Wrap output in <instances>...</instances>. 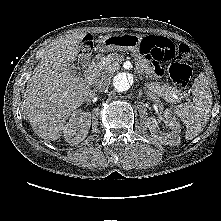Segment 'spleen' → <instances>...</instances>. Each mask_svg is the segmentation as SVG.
Here are the masks:
<instances>
[{
	"mask_svg": "<svg viewBox=\"0 0 221 221\" xmlns=\"http://www.w3.org/2000/svg\"><path fill=\"white\" fill-rule=\"evenodd\" d=\"M205 79L200 81L196 79L193 90V101L191 103H184L174 107V114H176L185 124L187 130L185 138L188 140L197 136L206 125L212 107V94L207 87ZM168 102L174 103V99ZM170 112V110H168Z\"/></svg>",
	"mask_w": 221,
	"mask_h": 221,
	"instance_id": "obj_1",
	"label": "spleen"
}]
</instances>
